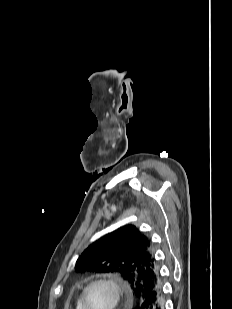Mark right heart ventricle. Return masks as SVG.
<instances>
[{
	"mask_svg": "<svg viewBox=\"0 0 232 309\" xmlns=\"http://www.w3.org/2000/svg\"><path fill=\"white\" fill-rule=\"evenodd\" d=\"M75 309H81L80 299L77 300L76 305H75Z\"/></svg>",
	"mask_w": 232,
	"mask_h": 309,
	"instance_id": "obj_1",
	"label": "right heart ventricle"
}]
</instances>
